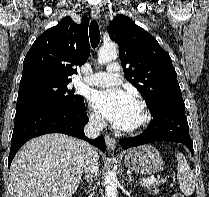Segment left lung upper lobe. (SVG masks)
<instances>
[{"label":"left lung upper lobe","mask_w":209,"mask_h":197,"mask_svg":"<svg viewBox=\"0 0 209 197\" xmlns=\"http://www.w3.org/2000/svg\"><path fill=\"white\" fill-rule=\"evenodd\" d=\"M109 36L119 45L126 79L139 90L150 112L164 103L183 102L171 58L152 35L119 15L109 25Z\"/></svg>","instance_id":"1"}]
</instances>
